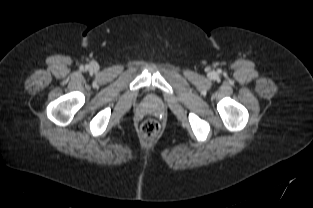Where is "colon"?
Segmentation results:
<instances>
[{"instance_id":"1","label":"colon","mask_w":313,"mask_h":208,"mask_svg":"<svg viewBox=\"0 0 313 208\" xmlns=\"http://www.w3.org/2000/svg\"><path fill=\"white\" fill-rule=\"evenodd\" d=\"M159 131L160 124L154 119H147L140 126V133L145 139L155 138Z\"/></svg>"}]
</instances>
